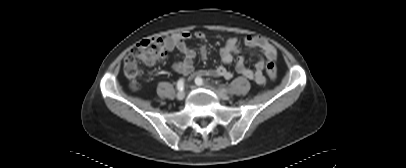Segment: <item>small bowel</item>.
I'll use <instances>...</instances> for the list:
<instances>
[{
    "mask_svg": "<svg viewBox=\"0 0 406 168\" xmlns=\"http://www.w3.org/2000/svg\"><path fill=\"white\" fill-rule=\"evenodd\" d=\"M195 37L200 41L206 40V35L203 32L195 33ZM191 39V34L188 32L167 36L164 40L165 49L167 51L178 50L184 55V59L173 64V69L182 75L194 74V59L196 51L188 45ZM244 42L246 46L257 50L264 58H260L251 69L245 65L244 57L241 55V50L238 47L236 37H229L225 46L220 50V56L225 64H230L233 61V55L237 54L235 71L247 79L253 80L258 85H264L266 78L264 69L268 61H274L277 53L275 48L263 37L248 35ZM203 56H206V46L200 48ZM198 76L219 77L231 79L233 73L224 66H218L214 69L200 70L195 73Z\"/></svg>",
    "mask_w": 406,
    "mask_h": 168,
    "instance_id": "c3829d8e",
    "label": "small bowel"
}]
</instances>
